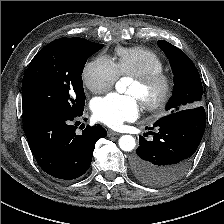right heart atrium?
I'll use <instances>...</instances> for the list:
<instances>
[{"mask_svg":"<svg viewBox=\"0 0 224 224\" xmlns=\"http://www.w3.org/2000/svg\"><path fill=\"white\" fill-rule=\"evenodd\" d=\"M119 77L115 63L108 57L99 56L88 62L82 72L86 88L100 94L109 90Z\"/></svg>","mask_w":224,"mask_h":224,"instance_id":"d8ad5b80","label":"right heart atrium"}]
</instances>
